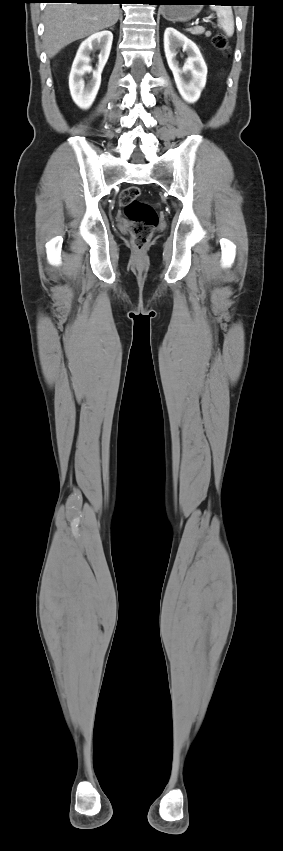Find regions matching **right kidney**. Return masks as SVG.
Masks as SVG:
<instances>
[{
  "instance_id": "obj_1",
  "label": "right kidney",
  "mask_w": 283,
  "mask_h": 851,
  "mask_svg": "<svg viewBox=\"0 0 283 851\" xmlns=\"http://www.w3.org/2000/svg\"><path fill=\"white\" fill-rule=\"evenodd\" d=\"M112 41L113 34L110 31L97 32L85 39L77 51L69 76V88L73 101L81 109H88L98 93L101 73L108 60ZM93 49L100 50L98 65L94 70L89 65ZM90 72L93 73L92 79L85 85L84 75Z\"/></svg>"
}]
</instances>
